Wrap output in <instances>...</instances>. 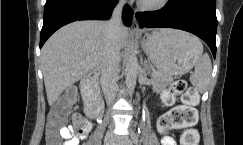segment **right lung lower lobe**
I'll list each match as a JSON object with an SVG mask.
<instances>
[{
	"label": "right lung lower lobe",
	"instance_id": "right-lung-lower-lobe-1",
	"mask_svg": "<svg viewBox=\"0 0 243 145\" xmlns=\"http://www.w3.org/2000/svg\"><path fill=\"white\" fill-rule=\"evenodd\" d=\"M118 0H47L44 7V22L40 36V48L60 27L76 20L109 19ZM133 10L125 5L123 22L132 23Z\"/></svg>",
	"mask_w": 243,
	"mask_h": 145
}]
</instances>
